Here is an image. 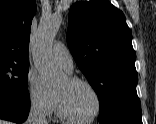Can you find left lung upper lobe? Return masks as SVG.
I'll list each match as a JSON object with an SVG mask.
<instances>
[{"label": "left lung upper lobe", "mask_w": 156, "mask_h": 124, "mask_svg": "<svg viewBox=\"0 0 156 124\" xmlns=\"http://www.w3.org/2000/svg\"><path fill=\"white\" fill-rule=\"evenodd\" d=\"M71 54L100 102L99 120L141 119L132 33L122 11L108 0L77 2L66 36Z\"/></svg>", "instance_id": "left-lung-upper-lobe-1"}]
</instances>
